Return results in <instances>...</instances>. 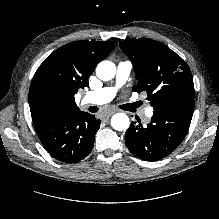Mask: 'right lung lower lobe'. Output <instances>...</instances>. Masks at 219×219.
<instances>
[{
	"mask_svg": "<svg viewBox=\"0 0 219 219\" xmlns=\"http://www.w3.org/2000/svg\"><path fill=\"white\" fill-rule=\"evenodd\" d=\"M33 121L49 154L66 163L77 162L91 152L101 124L94 115L80 110L68 115H45Z\"/></svg>",
	"mask_w": 219,
	"mask_h": 219,
	"instance_id": "right-lung-lower-lobe-1",
	"label": "right lung lower lobe"
}]
</instances>
